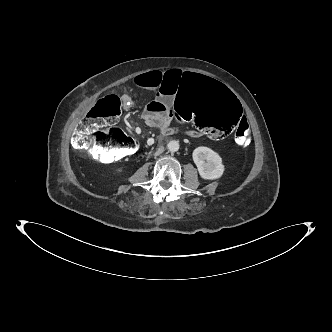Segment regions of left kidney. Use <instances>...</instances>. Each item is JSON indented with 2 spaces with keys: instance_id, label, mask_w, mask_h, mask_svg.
I'll return each instance as SVG.
<instances>
[{
  "instance_id": "obj_1",
  "label": "left kidney",
  "mask_w": 332,
  "mask_h": 332,
  "mask_svg": "<svg viewBox=\"0 0 332 332\" xmlns=\"http://www.w3.org/2000/svg\"><path fill=\"white\" fill-rule=\"evenodd\" d=\"M193 161L203 179L215 180L224 172L222 158L218 153L208 147H197L192 153Z\"/></svg>"
}]
</instances>
